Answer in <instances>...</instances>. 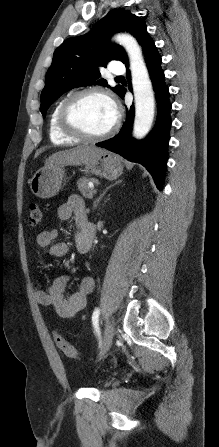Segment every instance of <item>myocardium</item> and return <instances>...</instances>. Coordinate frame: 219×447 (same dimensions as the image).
I'll return each mask as SVG.
<instances>
[{
    "instance_id": "myocardium-1",
    "label": "myocardium",
    "mask_w": 219,
    "mask_h": 447,
    "mask_svg": "<svg viewBox=\"0 0 219 447\" xmlns=\"http://www.w3.org/2000/svg\"><path fill=\"white\" fill-rule=\"evenodd\" d=\"M87 96H99L108 102H110L115 108V104L111 97L103 90L98 88H90L84 89L78 92H75L71 96H69L62 104L59 114H58V124L60 129L66 133L67 135L78 138L80 140L95 142L100 141L112 136L119 127L120 118L119 114L116 111V117L113 125L105 132L101 134H90L79 127L72 119V112L76 105ZM116 110V108H115Z\"/></svg>"
}]
</instances>
